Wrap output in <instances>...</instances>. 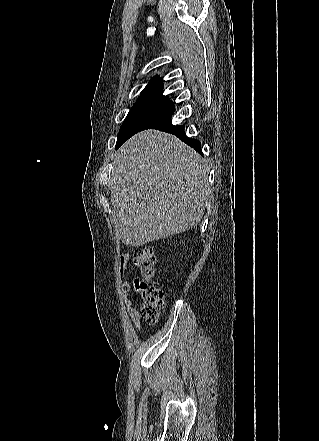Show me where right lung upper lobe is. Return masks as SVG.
<instances>
[{"label":"right lung upper lobe","instance_id":"obj_1","mask_svg":"<svg viewBox=\"0 0 319 441\" xmlns=\"http://www.w3.org/2000/svg\"><path fill=\"white\" fill-rule=\"evenodd\" d=\"M162 79L154 78L148 83V85L141 92L139 99H153L160 101L171 102L168 96H163L162 89L163 83Z\"/></svg>","mask_w":319,"mask_h":441}]
</instances>
